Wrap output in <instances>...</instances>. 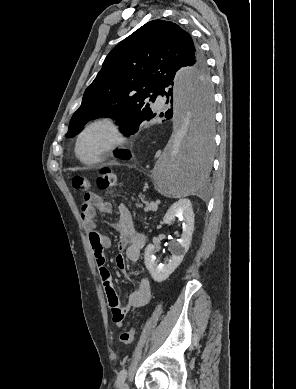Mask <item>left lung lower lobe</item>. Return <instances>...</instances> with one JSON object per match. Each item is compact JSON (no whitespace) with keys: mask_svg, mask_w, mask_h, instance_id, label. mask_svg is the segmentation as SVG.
<instances>
[{"mask_svg":"<svg viewBox=\"0 0 296 389\" xmlns=\"http://www.w3.org/2000/svg\"><path fill=\"white\" fill-rule=\"evenodd\" d=\"M173 81H167L162 84L159 93L166 95V103L171 106L165 114H162L167 119L176 117L177 96L175 89L173 90ZM198 80L194 79L193 92L197 96V104L199 106L200 127L191 129L183 144V158L188 165V172L192 178L198 180L204 177V173L209 169L210 156L212 149V141L207 135L208 127L212 122V106L213 97H211V87L205 85L199 89ZM168 87V91L165 88ZM174 106V111H173ZM211 117V120H208ZM114 155L120 159H129L131 154L128 150H115Z\"/></svg>","mask_w":296,"mask_h":389,"instance_id":"1","label":"left lung lower lobe"}]
</instances>
